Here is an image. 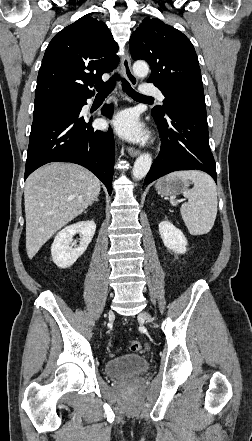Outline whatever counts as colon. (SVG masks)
Masks as SVG:
<instances>
[{
  "instance_id": "1",
  "label": "colon",
  "mask_w": 252,
  "mask_h": 441,
  "mask_svg": "<svg viewBox=\"0 0 252 441\" xmlns=\"http://www.w3.org/2000/svg\"><path fill=\"white\" fill-rule=\"evenodd\" d=\"M129 348L133 352L140 351L142 349V343L139 340L131 341Z\"/></svg>"
}]
</instances>
